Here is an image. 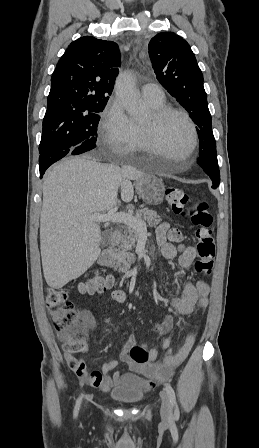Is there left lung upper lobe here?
<instances>
[{
	"label": "left lung upper lobe",
	"instance_id": "obj_1",
	"mask_svg": "<svg viewBox=\"0 0 259 448\" xmlns=\"http://www.w3.org/2000/svg\"><path fill=\"white\" fill-rule=\"evenodd\" d=\"M148 48L157 80L197 125L199 151L215 147L203 74L190 45L173 32H162L150 40Z\"/></svg>",
	"mask_w": 259,
	"mask_h": 448
}]
</instances>
